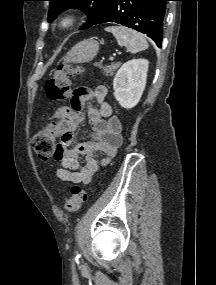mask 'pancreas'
I'll return each mask as SVG.
<instances>
[{
    "label": "pancreas",
    "mask_w": 216,
    "mask_h": 285,
    "mask_svg": "<svg viewBox=\"0 0 216 285\" xmlns=\"http://www.w3.org/2000/svg\"><path fill=\"white\" fill-rule=\"evenodd\" d=\"M120 67V63H111L108 66L102 67L103 73L106 76H113L115 71Z\"/></svg>",
    "instance_id": "obj_1"
}]
</instances>
